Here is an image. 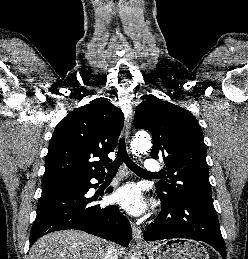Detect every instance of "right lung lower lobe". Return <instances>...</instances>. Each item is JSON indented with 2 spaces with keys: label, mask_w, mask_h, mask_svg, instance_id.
<instances>
[{
  "label": "right lung lower lobe",
  "mask_w": 248,
  "mask_h": 259,
  "mask_svg": "<svg viewBox=\"0 0 248 259\" xmlns=\"http://www.w3.org/2000/svg\"><path fill=\"white\" fill-rule=\"evenodd\" d=\"M103 175L94 176L102 180ZM89 179L42 187L37 216L30 234V247L43 235L64 229H78L111 240L126 247L132 238L129 221L113 206L91 204L96 198H87L94 187ZM112 192V187L107 190Z\"/></svg>",
  "instance_id": "1"
}]
</instances>
